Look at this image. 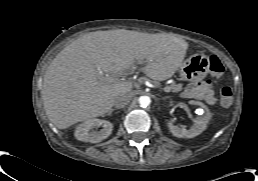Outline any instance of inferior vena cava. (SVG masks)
Here are the masks:
<instances>
[{"label": "inferior vena cava", "instance_id": "1", "mask_svg": "<svg viewBox=\"0 0 258 181\" xmlns=\"http://www.w3.org/2000/svg\"><path fill=\"white\" fill-rule=\"evenodd\" d=\"M132 99V95L130 93L120 94L115 98L114 106L118 109L124 108Z\"/></svg>", "mask_w": 258, "mask_h": 181}]
</instances>
